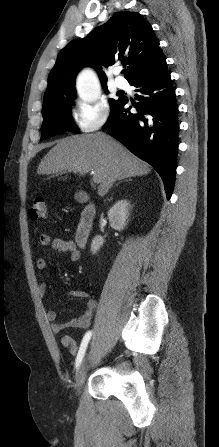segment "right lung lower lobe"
I'll return each instance as SVG.
<instances>
[{
    "mask_svg": "<svg viewBox=\"0 0 219 447\" xmlns=\"http://www.w3.org/2000/svg\"><path fill=\"white\" fill-rule=\"evenodd\" d=\"M131 85L140 93L131 113L127 97L111 110L104 127L132 153L152 165L161 176L167 199L175 181L178 149V105L166 60Z\"/></svg>",
    "mask_w": 219,
    "mask_h": 447,
    "instance_id": "98d812e1",
    "label": "right lung lower lobe"
}]
</instances>
